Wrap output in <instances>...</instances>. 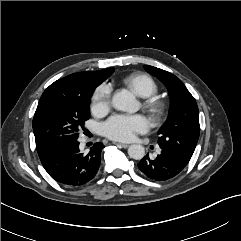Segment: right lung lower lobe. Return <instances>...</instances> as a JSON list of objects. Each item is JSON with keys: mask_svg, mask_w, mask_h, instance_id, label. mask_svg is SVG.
Wrapping results in <instances>:
<instances>
[{"mask_svg": "<svg viewBox=\"0 0 241 241\" xmlns=\"http://www.w3.org/2000/svg\"><path fill=\"white\" fill-rule=\"evenodd\" d=\"M103 148L101 143H95L85 155L79 150V142L72 140L53 145L38 155L47 173L57 182L81 186L97 174Z\"/></svg>", "mask_w": 241, "mask_h": 241, "instance_id": "obj_1", "label": "right lung lower lobe"}]
</instances>
